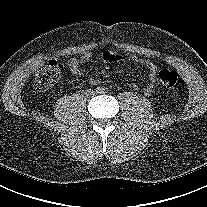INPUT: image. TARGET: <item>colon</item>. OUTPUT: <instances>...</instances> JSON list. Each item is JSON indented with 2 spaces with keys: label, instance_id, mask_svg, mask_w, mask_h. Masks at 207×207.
<instances>
[{
  "label": "colon",
  "instance_id": "obj_1",
  "mask_svg": "<svg viewBox=\"0 0 207 207\" xmlns=\"http://www.w3.org/2000/svg\"><path fill=\"white\" fill-rule=\"evenodd\" d=\"M62 72V65L56 60H50L37 73L34 86L38 90H45L55 84ZM158 77L166 88H173L178 82V73L172 69H161Z\"/></svg>",
  "mask_w": 207,
  "mask_h": 207
}]
</instances>
